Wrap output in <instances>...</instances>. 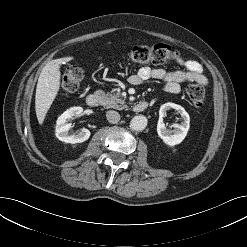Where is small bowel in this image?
<instances>
[{
	"label": "small bowel",
	"mask_w": 247,
	"mask_h": 247,
	"mask_svg": "<svg viewBox=\"0 0 247 247\" xmlns=\"http://www.w3.org/2000/svg\"><path fill=\"white\" fill-rule=\"evenodd\" d=\"M177 63L183 68L181 70L166 71L162 68L142 67L136 74L129 77V82L133 85H139L144 81L153 78L164 82V88L169 93H178L181 84L185 82H194L206 86L208 79L203 73L201 64L195 60H185L181 57Z\"/></svg>",
	"instance_id": "small-bowel-1"
}]
</instances>
